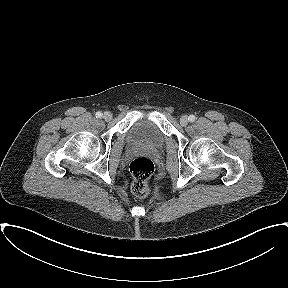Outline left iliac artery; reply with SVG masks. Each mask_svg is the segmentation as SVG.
<instances>
[{
	"mask_svg": "<svg viewBox=\"0 0 288 288\" xmlns=\"http://www.w3.org/2000/svg\"><path fill=\"white\" fill-rule=\"evenodd\" d=\"M188 120H189L190 122H194V121L196 120V117H195L194 115H190L189 118H188Z\"/></svg>",
	"mask_w": 288,
	"mask_h": 288,
	"instance_id": "44dca946",
	"label": "left iliac artery"
}]
</instances>
